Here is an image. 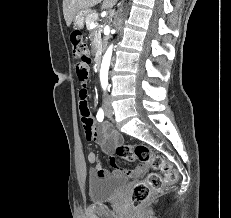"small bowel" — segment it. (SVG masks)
Masks as SVG:
<instances>
[{"label": "small bowel", "instance_id": "c3829d8e", "mask_svg": "<svg viewBox=\"0 0 231 218\" xmlns=\"http://www.w3.org/2000/svg\"><path fill=\"white\" fill-rule=\"evenodd\" d=\"M88 65H90V60H80L79 63H75L74 67V70L76 71L75 74L82 84V88L79 92V106L81 115L83 117L82 119L85 136L88 140H94L99 143L103 151L109 155V164L112 168L111 172L113 174L129 178L139 176L146 170V165L139 164L132 169H124L119 167L116 158L113 156L114 151L121 144V138L119 134L112 128V126L109 124H103L100 127H96L94 125L87 100L88 92L86 89V83L91 72L90 69H88ZM87 160L90 164L94 165L92 170L94 174L98 176H108L110 174L109 170L97 163V156L94 152H90L87 155Z\"/></svg>", "mask_w": 231, "mask_h": 218}]
</instances>
